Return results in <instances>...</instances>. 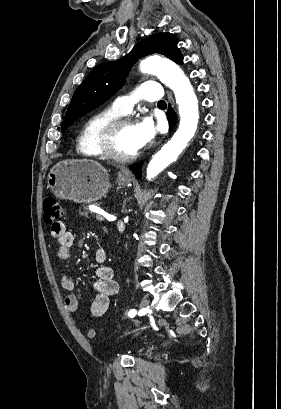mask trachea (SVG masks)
Wrapping results in <instances>:
<instances>
[{
  "mask_svg": "<svg viewBox=\"0 0 281 409\" xmlns=\"http://www.w3.org/2000/svg\"><path fill=\"white\" fill-rule=\"evenodd\" d=\"M158 104L166 105V102L164 100H159Z\"/></svg>",
  "mask_w": 281,
  "mask_h": 409,
  "instance_id": "1",
  "label": "trachea"
}]
</instances>
